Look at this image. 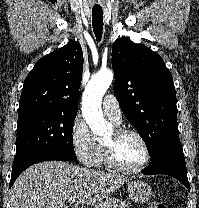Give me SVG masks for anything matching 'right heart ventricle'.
<instances>
[{
	"label": "right heart ventricle",
	"mask_w": 199,
	"mask_h": 208,
	"mask_svg": "<svg viewBox=\"0 0 199 208\" xmlns=\"http://www.w3.org/2000/svg\"><path fill=\"white\" fill-rule=\"evenodd\" d=\"M96 165L108 166V164H107V162L105 160L104 148H103L101 143L99 144V152H98L97 159H96Z\"/></svg>",
	"instance_id": "obj_1"
}]
</instances>
